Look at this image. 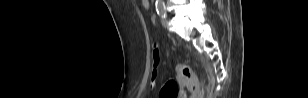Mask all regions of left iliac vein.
I'll return each mask as SVG.
<instances>
[{
  "label": "left iliac vein",
  "mask_w": 308,
  "mask_h": 98,
  "mask_svg": "<svg viewBox=\"0 0 308 98\" xmlns=\"http://www.w3.org/2000/svg\"><path fill=\"white\" fill-rule=\"evenodd\" d=\"M162 25H163L164 27H167V26H168V19H167L166 17L162 19Z\"/></svg>",
  "instance_id": "left-iliac-vein-1"
}]
</instances>
